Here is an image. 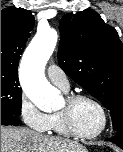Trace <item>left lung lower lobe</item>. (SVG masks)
Segmentation results:
<instances>
[{"mask_svg":"<svg viewBox=\"0 0 123 152\" xmlns=\"http://www.w3.org/2000/svg\"><path fill=\"white\" fill-rule=\"evenodd\" d=\"M108 141H111V142L119 145L123 149V136L111 138V139H108Z\"/></svg>","mask_w":123,"mask_h":152,"instance_id":"obj_1","label":"left lung lower lobe"}]
</instances>
